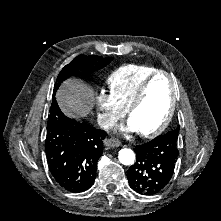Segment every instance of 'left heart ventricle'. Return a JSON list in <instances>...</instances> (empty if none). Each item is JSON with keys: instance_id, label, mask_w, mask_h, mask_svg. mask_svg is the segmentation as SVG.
<instances>
[{"instance_id": "1", "label": "left heart ventricle", "mask_w": 221, "mask_h": 221, "mask_svg": "<svg viewBox=\"0 0 221 221\" xmlns=\"http://www.w3.org/2000/svg\"><path fill=\"white\" fill-rule=\"evenodd\" d=\"M170 101V81L166 76H160L151 84L144 102L133 112L131 124L139 132L155 129L164 120Z\"/></svg>"}]
</instances>
